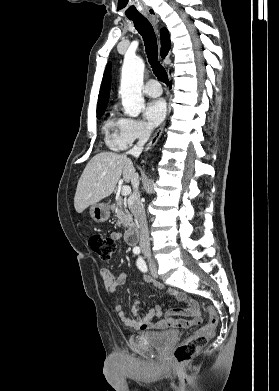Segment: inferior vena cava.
<instances>
[{
  "mask_svg": "<svg viewBox=\"0 0 279 391\" xmlns=\"http://www.w3.org/2000/svg\"><path fill=\"white\" fill-rule=\"evenodd\" d=\"M151 134L150 128H145L140 136L139 141L137 144L130 149L127 154L133 155L135 157H138L143 150V147L145 143L148 141ZM131 184L133 186V194L129 198V209L131 210L132 214L134 215L135 221L138 223L139 227V236H140V247L142 250V253L144 255H149L151 252L150 249V239H149V232H148V226L146 221V214L144 210V206L140 199V193L138 192L139 187V176L134 171L132 178H131Z\"/></svg>",
  "mask_w": 279,
  "mask_h": 391,
  "instance_id": "1",
  "label": "inferior vena cava"
}]
</instances>
